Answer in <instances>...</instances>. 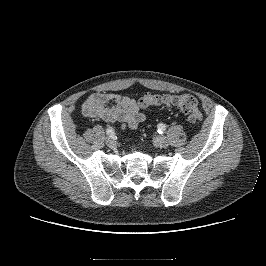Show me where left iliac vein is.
Here are the masks:
<instances>
[{"mask_svg": "<svg viewBox=\"0 0 266 266\" xmlns=\"http://www.w3.org/2000/svg\"><path fill=\"white\" fill-rule=\"evenodd\" d=\"M154 141L160 147L166 148L168 146V141L164 136H155Z\"/></svg>", "mask_w": 266, "mask_h": 266, "instance_id": "left-iliac-vein-1", "label": "left iliac vein"}]
</instances>
